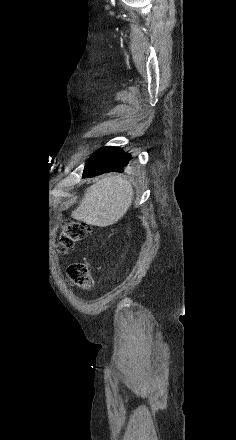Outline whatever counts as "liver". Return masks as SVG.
Instances as JSON below:
<instances>
[{"label": "liver", "instance_id": "liver-1", "mask_svg": "<svg viewBox=\"0 0 236 440\" xmlns=\"http://www.w3.org/2000/svg\"><path fill=\"white\" fill-rule=\"evenodd\" d=\"M133 197L130 182L121 175L110 174L86 190L71 215L88 225L107 227L126 214Z\"/></svg>", "mask_w": 236, "mask_h": 440}]
</instances>
